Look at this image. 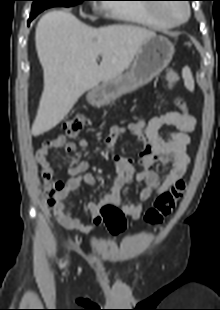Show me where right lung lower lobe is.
Wrapping results in <instances>:
<instances>
[{
  "mask_svg": "<svg viewBox=\"0 0 220 310\" xmlns=\"http://www.w3.org/2000/svg\"><path fill=\"white\" fill-rule=\"evenodd\" d=\"M37 15H38V14H37ZM37 15H36V14H31V15H30V18H29V20H28V25L30 24V22L32 21V19H34Z\"/></svg>",
  "mask_w": 220,
  "mask_h": 310,
  "instance_id": "obj_1",
  "label": "right lung lower lobe"
}]
</instances>
